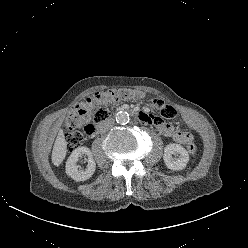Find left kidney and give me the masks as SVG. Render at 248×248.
<instances>
[{
  "instance_id": "1",
  "label": "left kidney",
  "mask_w": 248,
  "mask_h": 248,
  "mask_svg": "<svg viewBox=\"0 0 248 248\" xmlns=\"http://www.w3.org/2000/svg\"><path fill=\"white\" fill-rule=\"evenodd\" d=\"M163 159L168 169L179 171L186 167L189 154L183 146L170 143L164 148Z\"/></svg>"
}]
</instances>
